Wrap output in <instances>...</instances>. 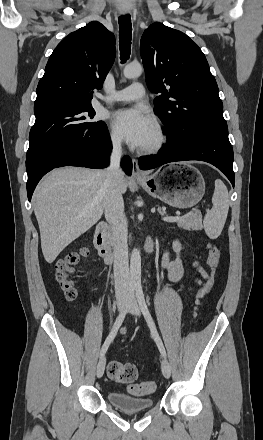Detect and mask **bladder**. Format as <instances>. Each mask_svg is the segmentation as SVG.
I'll use <instances>...</instances> for the list:
<instances>
[{
    "label": "bladder",
    "mask_w": 263,
    "mask_h": 440,
    "mask_svg": "<svg viewBox=\"0 0 263 440\" xmlns=\"http://www.w3.org/2000/svg\"><path fill=\"white\" fill-rule=\"evenodd\" d=\"M106 397L114 407L127 412L145 411L154 405L152 396H134L121 390H110Z\"/></svg>",
    "instance_id": "obj_1"
}]
</instances>
